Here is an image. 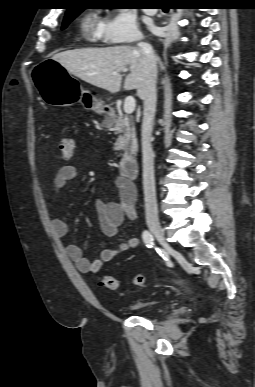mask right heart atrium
Segmentation results:
<instances>
[{
    "label": "right heart atrium",
    "instance_id": "right-heart-atrium-1",
    "mask_svg": "<svg viewBox=\"0 0 255 387\" xmlns=\"http://www.w3.org/2000/svg\"><path fill=\"white\" fill-rule=\"evenodd\" d=\"M101 38L106 44H131L140 41L143 35L136 18L126 9H118L103 23Z\"/></svg>",
    "mask_w": 255,
    "mask_h": 387
}]
</instances>
